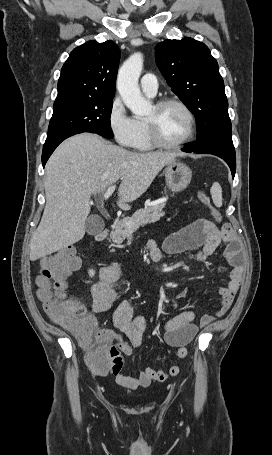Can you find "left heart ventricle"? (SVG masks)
<instances>
[{
	"instance_id": "b2bd125f",
	"label": "left heart ventricle",
	"mask_w": 272,
	"mask_h": 455,
	"mask_svg": "<svg viewBox=\"0 0 272 455\" xmlns=\"http://www.w3.org/2000/svg\"><path fill=\"white\" fill-rule=\"evenodd\" d=\"M146 119L155 122L160 138L166 143L180 141L188 130L185 113L175 105H169L160 110L152 107Z\"/></svg>"
}]
</instances>
